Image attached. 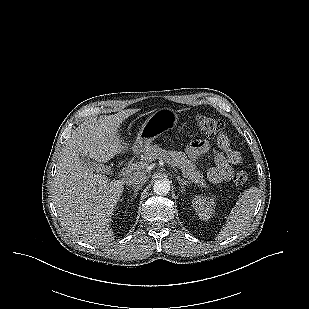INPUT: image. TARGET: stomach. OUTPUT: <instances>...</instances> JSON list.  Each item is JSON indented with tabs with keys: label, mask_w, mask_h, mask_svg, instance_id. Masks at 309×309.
<instances>
[{
	"label": "stomach",
	"mask_w": 309,
	"mask_h": 309,
	"mask_svg": "<svg viewBox=\"0 0 309 309\" xmlns=\"http://www.w3.org/2000/svg\"><path fill=\"white\" fill-rule=\"evenodd\" d=\"M178 119L179 115L173 109L160 108L156 110L143 123L134 144V149L145 151L161 134L174 128Z\"/></svg>",
	"instance_id": "1"
}]
</instances>
